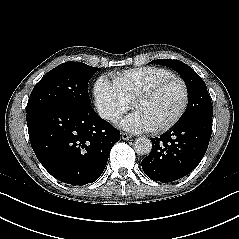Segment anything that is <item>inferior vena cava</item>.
Listing matches in <instances>:
<instances>
[{
  "label": "inferior vena cava",
  "mask_w": 239,
  "mask_h": 239,
  "mask_svg": "<svg viewBox=\"0 0 239 239\" xmlns=\"http://www.w3.org/2000/svg\"><path fill=\"white\" fill-rule=\"evenodd\" d=\"M99 116L105 120H113L114 119L113 113L110 110L105 109V108L99 110Z\"/></svg>",
  "instance_id": "inferior-vena-cava-1"
}]
</instances>
